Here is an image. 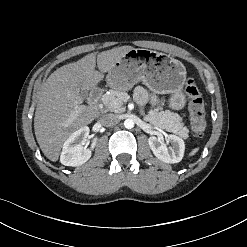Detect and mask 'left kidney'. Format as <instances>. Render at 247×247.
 Returning <instances> with one entry per match:
<instances>
[{
  "mask_svg": "<svg viewBox=\"0 0 247 247\" xmlns=\"http://www.w3.org/2000/svg\"><path fill=\"white\" fill-rule=\"evenodd\" d=\"M166 142L170 143V146L163 141V137H149L148 143L153 154L161 161L165 163H178L184 156L185 144L182 138L176 135H168Z\"/></svg>",
  "mask_w": 247,
  "mask_h": 247,
  "instance_id": "left-kidney-1",
  "label": "left kidney"
}]
</instances>
